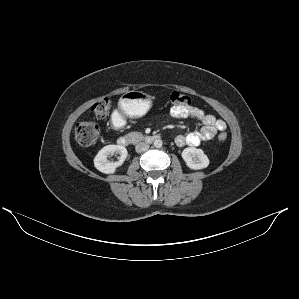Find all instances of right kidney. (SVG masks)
Here are the masks:
<instances>
[{
    "instance_id": "ca27d5eb",
    "label": "right kidney",
    "mask_w": 299,
    "mask_h": 299,
    "mask_svg": "<svg viewBox=\"0 0 299 299\" xmlns=\"http://www.w3.org/2000/svg\"><path fill=\"white\" fill-rule=\"evenodd\" d=\"M113 154H119V161L108 162L107 158ZM127 149L121 145H107L103 147L94 158V166L105 174H112L116 168L123 164L127 157Z\"/></svg>"
}]
</instances>
